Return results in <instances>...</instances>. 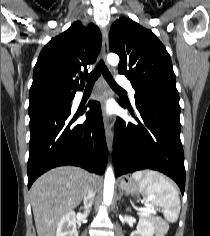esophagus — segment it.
Wrapping results in <instances>:
<instances>
[{
	"mask_svg": "<svg viewBox=\"0 0 210 236\" xmlns=\"http://www.w3.org/2000/svg\"><path fill=\"white\" fill-rule=\"evenodd\" d=\"M109 46H108V32L106 28L102 29V55L103 60L106 63V58L108 54ZM107 97V93L104 94V98ZM104 129H105V137L108 150L111 152L113 146V132L111 129V120L105 115L104 116Z\"/></svg>",
	"mask_w": 210,
	"mask_h": 236,
	"instance_id": "1",
	"label": "esophagus"
}]
</instances>
